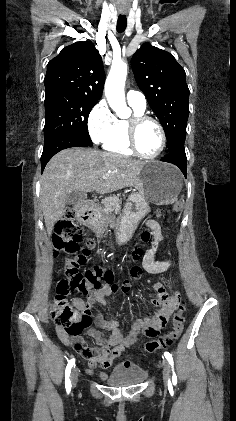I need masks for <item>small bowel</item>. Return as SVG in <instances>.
I'll use <instances>...</instances> for the list:
<instances>
[{"label":"small bowel","mask_w":236,"mask_h":421,"mask_svg":"<svg viewBox=\"0 0 236 421\" xmlns=\"http://www.w3.org/2000/svg\"><path fill=\"white\" fill-rule=\"evenodd\" d=\"M146 224H147V227L152 231V233L154 235L155 243L157 244L162 238L160 225L155 220H148L146 222ZM144 265L150 271H154V270L158 269V267L155 265L154 260H153V250H149L147 252V254L145 256V259H144ZM154 290L160 296V298L165 296V288H164L163 285L155 284ZM109 293H110L109 287H103L99 290H96V291L92 292L88 296L86 303H83L80 300H75V303L77 305H87L89 308H92L95 304H99L102 307H107L108 301L105 299V297ZM174 305H175V302L172 301L171 306L173 307ZM161 323L156 324V325L159 326V325H161ZM109 324L117 326V323L115 321H111L109 323L103 322V325H105V326H108ZM142 324H149V322H142V321L136 322L134 324V328H136V327H138ZM88 334H89V336L97 339V341L100 345L99 349L106 348L105 345H104V344H106V342L101 338L100 332H98L94 329H90L88 331ZM58 336L60 337V339L64 343L70 344L69 337L63 331L58 330ZM120 353H121V349L119 347H116L111 351V353H109L108 350H101L94 355L84 356V358L89 361L91 367H94V366L98 365L99 367L105 369V368H108V367L111 366L113 359L118 357L120 355Z\"/></svg>","instance_id":"c3829d8e"}]
</instances>
